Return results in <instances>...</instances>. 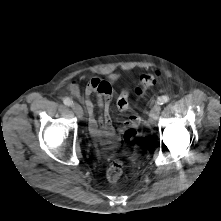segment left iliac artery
Instances as JSON below:
<instances>
[{"instance_id": "44dca946", "label": "left iliac artery", "mask_w": 221, "mask_h": 221, "mask_svg": "<svg viewBox=\"0 0 221 221\" xmlns=\"http://www.w3.org/2000/svg\"><path fill=\"white\" fill-rule=\"evenodd\" d=\"M168 101H169L168 96H161L158 98L157 103L160 105H163V104L167 103Z\"/></svg>"}]
</instances>
